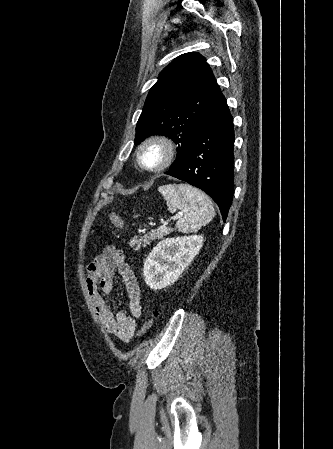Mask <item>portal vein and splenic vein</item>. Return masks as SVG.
Instances as JSON below:
<instances>
[{"mask_svg":"<svg viewBox=\"0 0 333 449\" xmlns=\"http://www.w3.org/2000/svg\"><path fill=\"white\" fill-rule=\"evenodd\" d=\"M180 215H182V214L173 216L170 220L165 221L163 223V225H168L171 220H173V221L177 220L180 217Z\"/></svg>","mask_w":333,"mask_h":449,"instance_id":"1","label":"portal vein and splenic vein"}]
</instances>
